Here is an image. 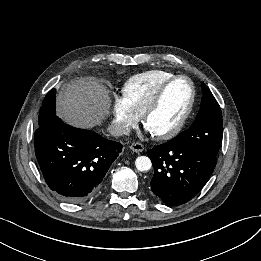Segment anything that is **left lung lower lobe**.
Masks as SVG:
<instances>
[{"mask_svg": "<svg viewBox=\"0 0 261 261\" xmlns=\"http://www.w3.org/2000/svg\"><path fill=\"white\" fill-rule=\"evenodd\" d=\"M148 156L155 170L150 188L167 206L191 200L207 183L217 163V155L188 145L184 137L154 146Z\"/></svg>", "mask_w": 261, "mask_h": 261, "instance_id": "obj_1", "label": "left lung lower lobe"}]
</instances>
